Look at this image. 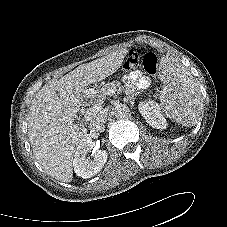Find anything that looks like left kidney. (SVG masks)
<instances>
[{"label": "left kidney", "instance_id": "left-kidney-1", "mask_svg": "<svg viewBox=\"0 0 227 227\" xmlns=\"http://www.w3.org/2000/svg\"><path fill=\"white\" fill-rule=\"evenodd\" d=\"M140 114L146 122L156 129L166 128V119L161 113V109L154 101L141 102L138 106Z\"/></svg>", "mask_w": 227, "mask_h": 227}]
</instances>
